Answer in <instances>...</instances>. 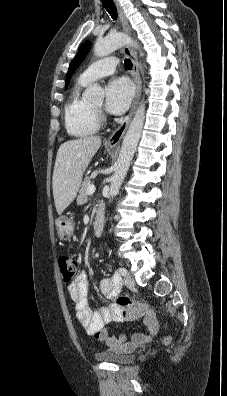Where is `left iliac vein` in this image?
I'll return each instance as SVG.
<instances>
[{
  "mask_svg": "<svg viewBox=\"0 0 227 396\" xmlns=\"http://www.w3.org/2000/svg\"><path fill=\"white\" fill-rule=\"evenodd\" d=\"M124 283L128 288H133L135 286V281L133 276L130 273H126L124 276Z\"/></svg>",
  "mask_w": 227,
  "mask_h": 396,
  "instance_id": "1",
  "label": "left iliac vein"
}]
</instances>
